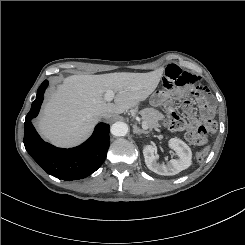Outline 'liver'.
Here are the masks:
<instances>
[{"instance_id": "1", "label": "liver", "mask_w": 245, "mask_h": 245, "mask_svg": "<svg viewBox=\"0 0 245 245\" xmlns=\"http://www.w3.org/2000/svg\"><path fill=\"white\" fill-rule=\"evenodd\" d=\"M163 71L69 76L50 95L38 129L56 146H75L92 133L102 114L109 119L146 100L158 86ZM108 90L117 93L114 103L105 100Z\"/></svg>"}]
</instances>
